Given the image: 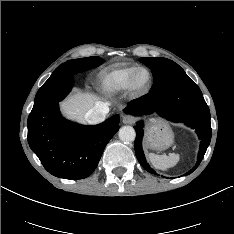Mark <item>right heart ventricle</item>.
<instances>
[{"mask_svg": "<svg viewBox=\"0 0 234 234\" xmlns=\"http://www.w3.org/2000/svg\"><path fill=\"white\" fill-rule=\"evenodd\" d=\"M135 65H116L99 74V85L106 94H117L126 90L132 74L138 69Z\"/></svg>", "mask_w": 234, "mask_h": 234, "instance_id": "obj_1", "label": "right heart ventricle"}]
</instances>
